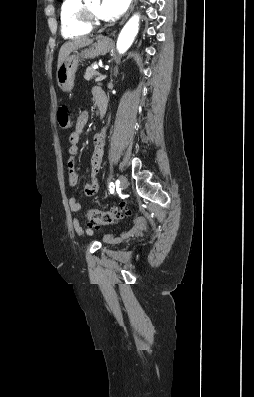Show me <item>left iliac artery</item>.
Returning a JSON list of instances; mask_svg holds the SVG:
<instances>
[{"label":"left iliac artery","mask_w":254,"mask_h":397,"mask_svg":"<svg viewBox=\"0 0 254 397\" xmlns=\"http://www.w3.org/2000/svg\"><path fill=\"white\" fill-rule=\"evenodd\" d=\"M118 184H120V181H117ZM114 184L110 183V193L113 194L114 193Z\"/></svg>","instance_id":"1"}]
</instances>
